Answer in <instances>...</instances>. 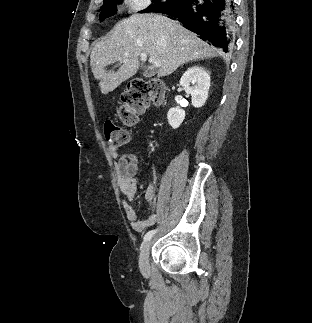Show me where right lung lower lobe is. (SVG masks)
<instances>
[{"label": "right lung lower lobe", "instance_id": "obj_1", "mask_svg": "<svg viewBox=\"0 0 312 323\" xmlns=\"http://www.w3.org/2000/svg\"><path fill=\"white\" fill-rule=\"evenodd\" d=\"M234 7L233 0H181L159 13L168 14L208 44L228 53L234 46Z\"/></svg>", "mask_w": 312, "mask_h": 323}]
</instances>
